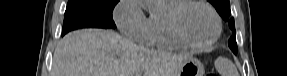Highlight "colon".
I'll list each match as a JSON object with an SVG mask.
<instances>
[{
	"mask_svg": "<svg viewBox=\"0 0 287 76\" xmlns=\"http://www.w3.org/2000/svg\"><path fill=\"white\" fill-rule=\"evenodd\" d=\"M207 76H215V74L213 72L207 74Z\"/></svg>",
	"mask_w": 287,
	"mask_h": 76,
	"instance_id": "1",
	"label": "colon"
}]
</instances>
